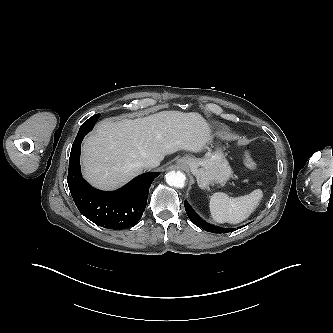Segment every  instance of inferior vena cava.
<instances>
[{"instance_id":"602c4592","label":"inferior vena cava","mask_w":333,"mask_h":333,"mask_svg":"<svg viewBox=\"0 0 333 333\" xmlns=\"http://www.w3.org/2000/svg\"><path fill=\"white\" fill-rule=\"evenodd\" d=\"M159 164H160V162L153 158L145 159L140 163L141 167L148 168V169L155 168V167L159 166Z\"/></svg>"}]
</instances>
